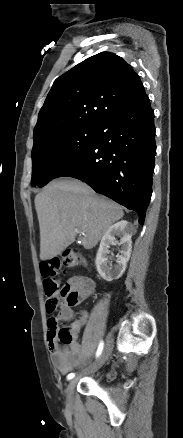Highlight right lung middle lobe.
Returning a JSON list of instances; mask_svg holds the SVG:
<instances>
[{"label": "right lung middle lobe", "mask_w": 183, "mask_h": 438, "mask_svg": "<svg viewBox=\"0 0 183 438\" xmlns=\"http://www.w3.org/2000/svg\"><path fill=\"white\" fill-rule=\"evenodd\" d=\"M98 126H79L45 134L34 140L32 186L43 187L86 149Z\"/></svg>", "instance_id": "1"}]
</instances>
